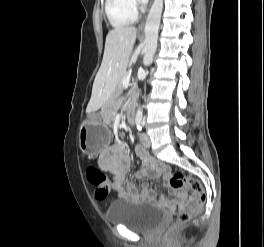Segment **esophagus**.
I'll list each match as a JSON object with an SVG mask.
<instances>
[{
  "label": "esophagus",
  "instance_id": "34e87169",
  "mask_svg": "<svg viewBox=\"0 0 264 247\" xmlns=\"http://www.w3.org/2000/svg\"><path fill=\"white\" fill-rule=\"evenodd\" d=\"M145 25V19L141 22L140 26H139V31H142Z\"/></svg>",
  "mask_w": 264,
  "mask_h": 247
}]
</instances>
